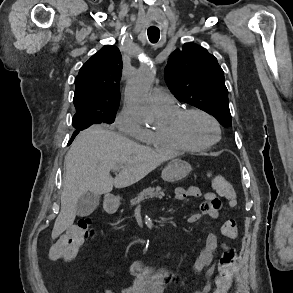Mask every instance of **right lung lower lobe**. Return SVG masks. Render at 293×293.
Masks as SVG:
<instances>
[{
	"label": "right lung lower lobe",
	"mask_w": 293,
	"mask_h": 293,
	"mask_svg": "<svg viewBox=\"0 0 293 293\" xmlns=\"http://www.w3.org/2000/svg\"><path fill=\"white\" fill-rule=\"evenodd\" d=\"M81 130H75L72 137H71V140L69 141L68 145L71 144V142L73 141V139L75 138V136L80 132Z\"/></svg>",
	"instance_id": "obj_1"
}]
</instances>
